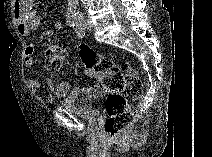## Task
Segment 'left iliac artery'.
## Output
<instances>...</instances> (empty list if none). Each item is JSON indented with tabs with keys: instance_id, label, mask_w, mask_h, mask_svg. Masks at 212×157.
<instances>
[{
	"instance_id": "left-iliac-artery-1",
	"label": "left iliac artery",
	"mask_w": 212,
	"mask_h": 157,
	"mask_svg": "<svg viewBox=\"0 0 212 157\" xmlns=\"http://www.w3.org/2000/svg\"><path fill=\"white\" fill-rule=\"evenodd\" d=\"M82 20H83V16L78 15V18L76 21V28H75V32H76L77 36L81 37V38L85 35V29L82 26Z\"/></svg>"
}]
</instances>
